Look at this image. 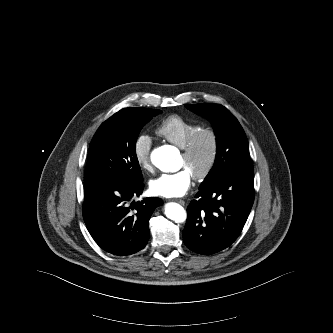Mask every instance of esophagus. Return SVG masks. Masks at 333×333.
<instances>
[{
	"label": "esophagus",
	"instance_id": "34e87169",
	"mask_svg": "<svg viewBox=\"0 0 333 333\" xmlns=\"http://www.w3.org/2000/svg\"><path fill=\"white\" fill-rule=\"evenodd\" d=\"M175 201H176L177 203L181 204V205H184V204H185V202H184L183 200H181V199H176Z\"/></svg>",
	"mask_w": 333,
	"mask_h": 333
}]
</instances>
